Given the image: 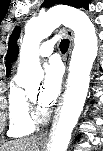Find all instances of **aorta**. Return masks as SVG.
<instances>
[{"instance_id": "obj_1", "label": "aorta", "mask_w": 103, "mask_h": 151, "mask_svg": "<svg viewBox=\"0 0 103 151\" xmlns=\"http://www.w3.org/2000/svg\"><path fill=\"white\" fill-rule=\"evenodd\" d=\"M61 24L74 31V49L69 66L68 88L59 111L48 151H66L87 97L90 73L98 52L95 27L82 11L57 6L29 20L20 49L19 77L31 78L41 70L39 45Z\"/></svg>"}]
</instances>
